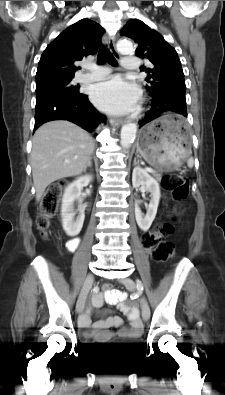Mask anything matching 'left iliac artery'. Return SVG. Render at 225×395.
I'll list each match as a JSON object with an SVG mask.
<instances>
[{
    "label": "left iliac artery",
    "instance_id": "1",
    "mask_svg": "<svg viewBox=\"0 0 225 395\" xmlns=\"http://www.w3.org/2000/svg\"><path fill=\"white\" fill-rule=\"evenodd\" d=\"M137 288H138L139 290H143V284L141 283L140 280H137Z\"/></svg>",
    "mask_w": 225,
    "mask_h": 395
}]
</instances>
